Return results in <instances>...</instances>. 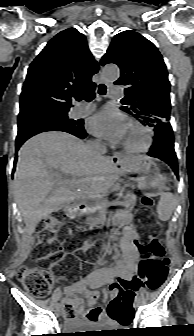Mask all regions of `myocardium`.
<instances>
[{
	"label": "myocardium",
	"instance_id": "1",
	"mask_svg": "<svg viewBox=\"0 0 194 336\" xmlns=\"http://www.w3.org/2000/svg\"><path fill=\"white\" fill-rule=\"evenodd\" d=\"M128 125L132 126L133 128L143 133L145 139H144V143L138 147H131V146H128L122 143L121 148L123 149V151L129 154H141V153H145L149 151L154 143V135H153L152 130L142 125L136 120H129Z\"/></svg>",
	"mask_w": 194,
	"mask_h": 336
}]
</instances>
